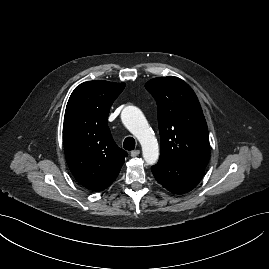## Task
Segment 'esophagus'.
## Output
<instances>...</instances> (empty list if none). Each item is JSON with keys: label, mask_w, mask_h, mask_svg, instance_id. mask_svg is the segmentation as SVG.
Wrapping results in <instances>:
<instances>
[{"label": "esophagus", "mask_w": 269, "mask_h": 269, "mask_svg": "<svg viewBox=\"0 0 269 269\" xmlns=\"http://www.w3.org/2000/svg\"><path fill=\"white\" fill-rule=\"evenodd\" d=\"M140 154V150H133L131 151V156L132 157H137Z\"/></svg>", "instance_id": "obj_1"}]
</instances>
